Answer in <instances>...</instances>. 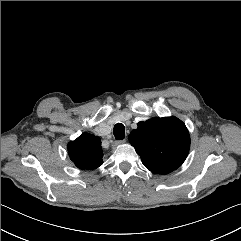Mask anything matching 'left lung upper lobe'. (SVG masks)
Masks as SVG:
<instances>
[{
    "label": "left lung upper lobe",
    "instance_id": "obj_1",
    "mask_svg": "<svg viewBox=\"0 0 241 241\" xmlns=\"http://www.w3.org/2000/svg\"><path fill=\"white\" fill-rule=\"evenodd\" d=\"M129 141L151 172L168 174L179 168L187 157L190 138L185 124L176 117L154 118L139 122Z\"/></svg>",
    "mask_w": 241,
    "mask_h": 241
}]
</instances>
